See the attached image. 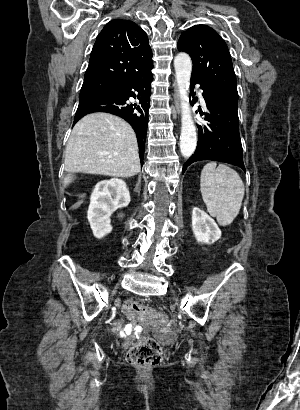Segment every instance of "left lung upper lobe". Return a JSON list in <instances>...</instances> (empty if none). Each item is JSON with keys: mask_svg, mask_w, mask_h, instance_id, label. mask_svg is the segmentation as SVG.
Wrapping results in <instances>:
<instances>
[{"mask_svg": "<svg viewBox=\"0 0 300 410\" xmlns=\"http://www.w3.org/2000/svg\"><path fill=\"white\" fill-rule=\"evenodd\" d=\"M177 48L193 60L191 77L238 103L231 56L226 43L214 29L206 25L192 26L181 34Z\"/></svg>", "mask_w": 300, "mask_h": 410, "instance_id": "left-lung-upper-lobe-1", "label": "left lung upper lobe"}]
</instances>
